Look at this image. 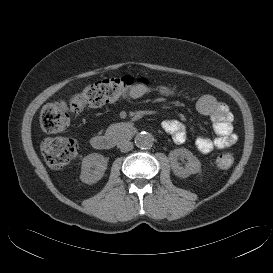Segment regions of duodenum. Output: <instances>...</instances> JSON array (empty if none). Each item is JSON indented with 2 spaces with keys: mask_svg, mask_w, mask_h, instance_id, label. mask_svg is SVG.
I'll list each match as a JSON object with an SVG mask.
<instances>
[{
  "mask_svg": "<svg viewBox=\"0 0 273 273\" xmlns=\"http://www.w3.org/2000/svg\"><path fill=\"white\" fill-rule=\"evenodd\" d=\"M134 132L130 124H122L105 135H95L91 138V146L98 150H107L126 140Z\"/></svg>",
  "mask_w": 273,
  "mask_h": 273,
  "instance_id": "duodenum-1",
  "label": "duodenum"
}]
</instances>
